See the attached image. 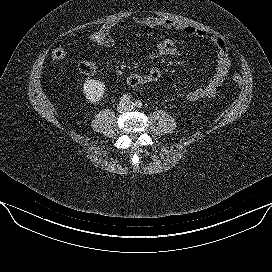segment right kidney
<instances>
[{
	"mask_svg": "<svg viewBox=\"0 0 272 272\" xmlns=\"http://www.w3.org/2000/svg\"><path fill=\"white\" fill-rule=\"evenodd\" d=\"M83 94L90 103L100 101L105 92V85L100 80L90 79L83 84Z\"/></svg>",
	"mask_w": 272,
	"mask_h": 272,
	"instance_id": "1",
	"label": "right kidney"
}]
</instances>
